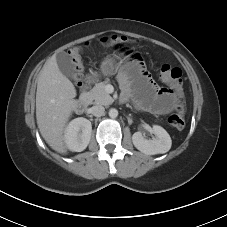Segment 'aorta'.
<instances>
[{
	"label": "aorta",
	"mask_w": 227,
	"mask_h": 227,
	"mask_svg": "<svg viewBox=\"0 0 227 227\" xmlns=\"http://www.w3.org/2000/svg\"><path fill=\"white\" fill-rule=\"evenodd\" d=\"M109 116L111 118H116L118 116V111L115 108L109 110Z\"/></svg>",
	"instance_id": "aorta-1"
}]
</instances>
